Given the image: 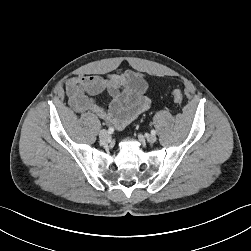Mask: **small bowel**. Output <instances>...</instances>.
Listing matches in <instances>:
<instances>
[{"label":"small bowel","instance_id":"c3829d8e","mask_svg":"<svg viewBox=\"0 0 251 251\" xmlns=\"http://www.w3.org/2000/svg\"><path fill=\"white\" fill-rule=\"evenodd\" d=\"M148 89L145 76L134 70L104 77L81 75L66 83L69 104L75 111L93 114L117 130L126 128L150 108L151 101L146 95ZM103 92L110 98L107 107L100 106L95 99Z\"/></svg>","mask_w":251,"mask_h":251}]
</instances>
